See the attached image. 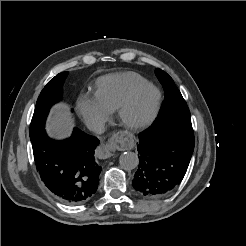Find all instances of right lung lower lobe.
<instances>
[{
	"label": "right lung lower lobe",
	"mask_w": 246,
	"mask_h": 246,
	"mask_svg": "<svg viewBox=\"0 0 246 246\" xmlns=\"http://www.w3.org/2000/svg\"><path fill=\"white\" fill-rule=\"evenodd\" d=\"M31 143L40 177L60 201L77 205L96 192L102 169L94 159L96 137L74 128L70 138L56 141L43 129L31 137Z\"/></svg>",
	"instance_id": "1"
}]
</instances>
